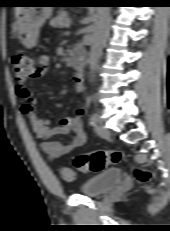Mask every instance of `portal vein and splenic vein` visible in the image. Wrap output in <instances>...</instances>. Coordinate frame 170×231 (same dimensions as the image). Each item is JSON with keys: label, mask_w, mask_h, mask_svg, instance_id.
<instances>
[{"label": "portal vein and splenic vein", "mask_w": 170, "mask_h": 231, "mask_svg": "<svg viewBox=\"0 0 170 231\" xmlns=\"http://www.w3.org/2000/svg\"><path fill=\"white\" fill-rule=\"evenodd\" d=\"M70 23H71V21L68 20V21L65 23V26H66V27H69V26H70Z\"/></svg>", "instance_id": "obj_1"}]
</instances>
